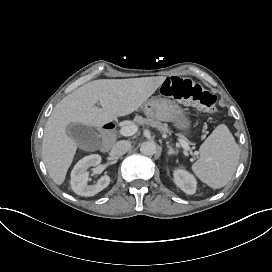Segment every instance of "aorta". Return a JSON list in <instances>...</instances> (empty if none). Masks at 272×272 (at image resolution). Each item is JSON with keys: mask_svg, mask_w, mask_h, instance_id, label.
<instances>
[{"mask_svg": "<svg viewBox=\"0 0 272 272\" xmlns=\"http://www.w3.org/2000/svg\"><path fill=\"white\" fill-rule=\"evenodd\" d=\"M140 151L142 154L150 156L156 153V145L154 142H143L140 147Z\"/></svg>", "mask_w": 272, "mask_h": 272, "instance_id": "762f6f07", "label": "aorta"}]
</instances>
